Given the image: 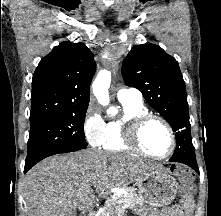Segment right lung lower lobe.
I'll list each match as a JSON object with an SVG mask.
<instances>
[{
	"mask_svg": "<svg viewBox=\"0 0 221 216\" xmlns=\"http://www.w3.org/2000/svg\"><path fill=\"white\" fill-rule=\"evenodd\" d=\"M35 164L25 165L24 173H26L31 167H33Z\"/></svg>",
	"mask_w": 221,
	"mask_h": 216,
	"instance_id": "right-lung-lower-lobe-1",
	"label": "right lung lower lobe"
}]
</instances>
